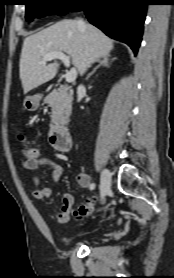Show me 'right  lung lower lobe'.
<instances>
[{"label": "right lung lower lobe", "instance_id": "1", "mask_svg": "<svg viewBox=\"0 0 174 278\" xmlns=\"http://www.w3.org/2000/svg\"><path fill=\"white\" fill-rule=\"evenodd\" d=\"M146 0H79L70 11H84L89 22L136 54L146 16Z\"/></svg>", "mask_w": 174, "mask_h": 278}]
</instances>
